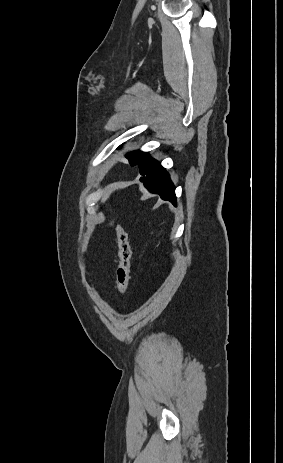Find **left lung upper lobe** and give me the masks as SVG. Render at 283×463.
I'll return each instance as SVG.
<instances>
[{"label":"left lung upper lobe","mask_w":283,"mask_h":463,"mask_svg":"<svg viewBox=\"0 0 283 463\" xmlns=\"http://www.w3.org/2000/svg\"><path fill=\"white\" fill-rule=\"evenodd\" d=\"M144 155V152L134 151L126 155V158L129 160L131 166H135L140 158Z\"/></svg>","instance_id":"left-lung-upper-lobe-1"}]
</instances>
